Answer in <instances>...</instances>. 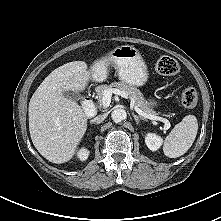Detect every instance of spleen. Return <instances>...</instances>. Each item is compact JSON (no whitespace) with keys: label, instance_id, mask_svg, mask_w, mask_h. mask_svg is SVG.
<instances>
[{"label":"spleen","instance_id":"spleen-1","mask_svg":"<svg viewBox=\"0 0 221 221\" xmlns=\"http://www.w3.org/2000/svg\"><path fill=\"white\" fill-rule=\"evenodd\" d=\"M197 131V118L194 115L185 116L165 138L164 154L169 158H176L185 154L192 146Z\"/></svg>","mask_w":221,"mask_h":221}]
</instances>
